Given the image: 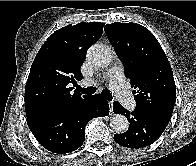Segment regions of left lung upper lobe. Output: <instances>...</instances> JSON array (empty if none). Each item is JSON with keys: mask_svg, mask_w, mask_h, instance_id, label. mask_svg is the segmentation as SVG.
Here are the masks:
<instances>
[{"mask_svg": "<svg viewBox=\"0 0 196 166\" xmlns=\"http://www.w3.org/2000/svg\"><path fill=\"white\" fill-rule=\"evenodd\" d=\"M104 29L135 89V109L169 121L176 87L170 63L155 36L137 23L115 22Z\"/></svg>", "mask_w": 196, "mask_h": 166, "instance_id": "5c2ea615", "label": "left lung upper lobe"}]
</instances>
